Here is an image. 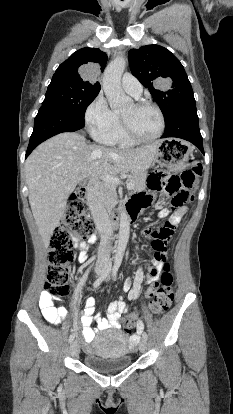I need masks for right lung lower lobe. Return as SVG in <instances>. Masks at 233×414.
Instances as JSON below:
<instances>
[{
    "instance_id": "right-lung-lower-lobe-1",
    "label": "right lung lower lobe",
    "mask_w": 233,
    "mask_h": 414,
    "mask_svg": "<svg viewBox=\"0 0 233 414\" xmlns=\"http://www.w3.org/2000/svg\"><path fill=\"white\" fill-rule=\"evenodd\" d=\"M84 118L53 106H41L35 117L34 129L26 152L27 157L41 142L62 132H74L84 127Z\"/></svg>"
}]
</instances>
